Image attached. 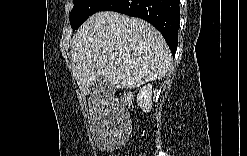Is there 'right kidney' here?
I'll use <instances>...</instances> for the list:
<instances>
[{
  "mask_svg": "<svg viewBox=\"0 0 247 156\" xmlns=\"http://www.w3.org/2000/svg\"><path fill=\"white\" fill-rule=\"evenodd\" d=\"M137 104L145 113H149L152 108V85L143 86L137 94Z\"/></svg>",
  "mask_w": 247,
  "mask_h": 156,
  "instance_id": "1",
  "label": "right kidney"
}]
</instances>
